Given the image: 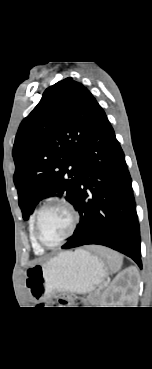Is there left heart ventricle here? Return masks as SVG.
<instances>
[{
  "mask_svg": "<svg viewBox=\"0 0 152 369\" xmlns=\"http://www.w3.org/2000/svg\"><path fill=\"white\" fill-rule=\"evenodd\" d=\"M71 216L68 210L60 205H51L41 214L39 233L46 244H54L69 231Z\"/></svg>",
  "mask_w": 152,
  "mask_h": 369,
  "instance_id": "left-heart-ventricle-1",
  "label": "left heart ventricle"
}]
</instances>
